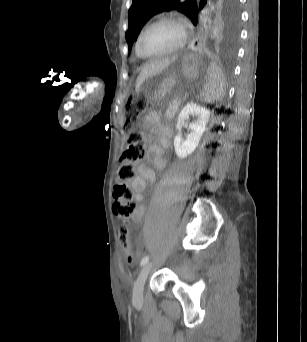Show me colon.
Returning a JSON list of instances; mask_svg holds the SVG:
<instances>
[{"mask_svg":"<svg viewBox=\"0 0 307 342\" xmlns=\"http://www.w3.org/2000/svg\"><path fill=\"white\" fill-rule=\"evenodd\" d=\"M146 107V102L137 98L130 100L127 104L124 119L125 126L130 131L129 142L121 153L122 162L117 168L113 187L114 211L120 218L119 244L122 249L127 251L131 250L130 219L135 210V204L131 200L132 191L128 183L135 177V165L144 161L146 157L143 135L134 127L141 115L145 112ZM132 259L133 256L129 254L128 265L132 264Z\"/></svg>","mask_w":307,"mask_h":342,"instance_id":"obj_1","label":"colon"}]
</instances>
